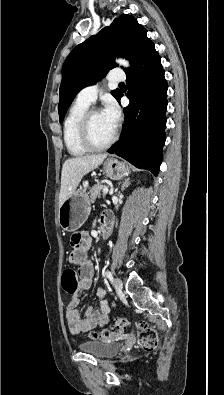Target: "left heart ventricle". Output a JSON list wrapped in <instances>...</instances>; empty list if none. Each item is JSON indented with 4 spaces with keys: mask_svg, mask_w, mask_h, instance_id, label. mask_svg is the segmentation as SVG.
<instances>
[{
    "mask_svg": "<svg viewBox=\"0 0 224 395\" xmlns=\"http://www.w3.org/2000/svg\"><path fill=\"white\" fill-rule=\"evenodd\" d=\"M115 127L100 112L92 115L90 121V135L96 144L107 142L113 135Z\"/></svg>",
    "mask_w": 224,
    "mask_h": 395,
    "instance_id": "obj_1",
    "label": "left heart ventricle"
}]
</instances>
